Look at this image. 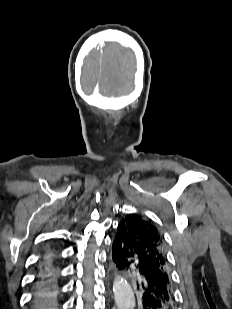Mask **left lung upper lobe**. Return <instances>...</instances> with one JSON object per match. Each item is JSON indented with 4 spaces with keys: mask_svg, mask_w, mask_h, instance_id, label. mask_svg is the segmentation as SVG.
<instances>
[{
    "mask_svg": "<svg viewBox=\"0 0 232 309\" xmlns=\"http://www.w3.org/2000/svg\"><path fill=\"white\" fill-rule=\"evenodd\" d=\"M120 224L127 230L137 255L169 275L164 238L151 220L139 214H129Z\"/></svg>",
    "mask_w": 232,
    "mask_h": 309,
    "instance_id": "1",
    "label": "left lung upper lobe"
}]
</instances>
